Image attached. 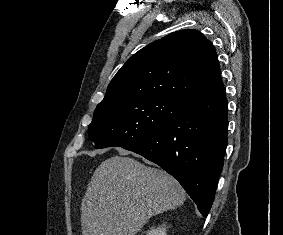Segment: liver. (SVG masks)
<instances>
[{
	"instance_id": "6515ba94",
	"label": "liver",
	"mask_w": 283,
	"mask_h": 235,
	"mask_svg": "<svg viewBox=\"0 0 283 235\" xmlns=\"http://www.w3.org/2000/svg\"><path fill=\"white\" fill-rule=\"evenodd\" d=\"M119 153L97 167L87 186L83 235H136L152 216L185 201L183 188L167 172Z\"/></svg>"
}]
</instances>
